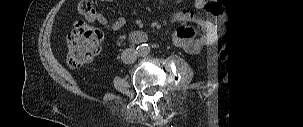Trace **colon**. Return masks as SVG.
<instances>
[{
  "label": "colon",
  "mask_w": 303,
  "mask_h": 127,
  "mask_svg": "<svg viewBox=\"0 0 303 127\" xmlns=\"http://www.w3.org/2000/svg\"><path fill=\"white\" fill-rule=\"evenodd\" d=\"M94 3L90 0H82L78 5V11L83 15H89L94 11ZM102 33L95 27L84 21H78L67 36L68 56L67 63L70 68H78L95 57L101 47ZM227 51L220 49L218 56L226 58Z\"/></svg>",
  "instance_id": "obj_1"
}]
</instances>
